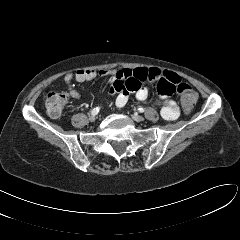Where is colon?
<instances>
[{"label":"colon","instance_id":"1","mask_svg":"<svg viewBox=\"0 0 240 240\" xmlns=\"http://www.w3.org/2000/svg\"><path fill=\"white\" fill-rule=\"evenodd\" d=\"M182 106L185 111H190L196 104L197 94L192 87L186 83H180L177 88ZM66 96L59 92H49L45 98V105L49 115L59 116L64 108Z\"/></svg>","mask_w":240,"mask_h":240}]
</instances>
